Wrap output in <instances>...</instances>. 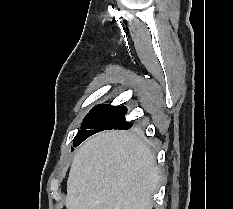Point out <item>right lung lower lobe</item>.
Segmentation results:
<instances>
[{"label":"right lung lower lobe","instance_id":"98d812e1","mask_svg":"<svg viewBox=\"0 0 233 209\" xmlns=\"http://www.w3.org/2000/svg\"><path fill=\"white\" fill-rule=\"evenodd\" d=\"M107 130H109V129H124V130H126V129H128V127L127 126H115V127H110V128H106ZM106 129H102V130H100V131H103V130H106ZM100 131H97V132H100ZM96 133V132H95ZM95 133H93V134H95ZM93 134H91V135H93ZM90 135V136H91ZM89 136H86L85 138H83L80 142H79V144L81 143V142H83L86 138H88Z\"/></svg>","mask_w":233,"mask_h":209}]
</instances>
